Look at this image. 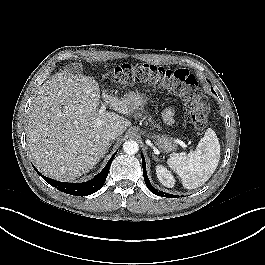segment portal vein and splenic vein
I'll list each match as a JSON object with an SVG mask.
<instances>
[{"mask_svg": "<svg viewBox=\"0 0 265 265\" xmlns=\"http://www.w3.org/2000/svg\"><path fill=\"white\" fill-rule=\"evenodd\" d=\"M105 110H106V105L103 104V105L100 107V109L98 110V114H99V115L103 114V113L105 112Z\"/></svg>", "mask_w": 265, "mask_h": 265, "instance_id": "portal-vein-and-splenic-vein-1", "label": "portal vein and splenic vein"}]
</instances>
